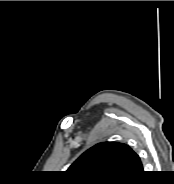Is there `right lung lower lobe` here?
Listing matches in <instances>:
<instances>
[{"label": "right lung lower lobe", "mask_w": 174, "mask_h": 184, "mask_svg": "<svg viewBox=\"0 0 174 184\" xmlns=\"http://www.w3.org/2000/svg\"><path fill=\"white\" fill-rule=\"evenodd\" d=\"M135 180H136V179L130 180V181H128L126 184L136 183Z\"/></svg>", "instance_id": "obj_1"}]
</instances>
